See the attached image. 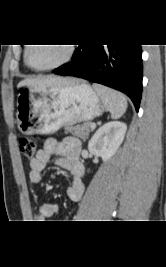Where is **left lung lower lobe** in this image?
Instances as JSON below:
<instances>
[{"mask_svg":"<svg viewBox=\"0 0 166 267\" xmlns=\"http://www.w3.org/2000/svg\"><path fill=\"white\" fill-rule=\"evenodd\" d=\"M119 90L139 110L142 94L141 45H79L73 61L53 70Z\"/></svg>","mask_w":166,"mask_h":267,"instance_id":"0a47b994","label":"left lung lower lobe"}]
</instances>
